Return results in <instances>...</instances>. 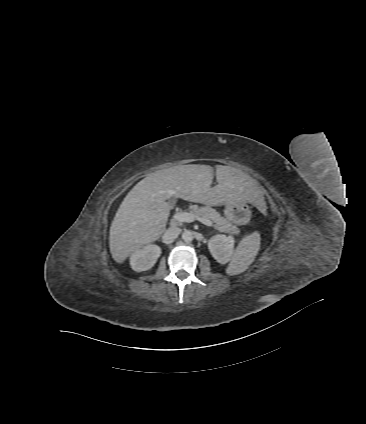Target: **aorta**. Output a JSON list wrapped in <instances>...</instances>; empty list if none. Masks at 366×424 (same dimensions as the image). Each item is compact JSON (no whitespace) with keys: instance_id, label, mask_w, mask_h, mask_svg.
Wrapping results in <instances>:
<instances>
[{"instance_id":"aorta-1","label":"aorta","mask_w":366,"mask_h":424,"mask_svg":"<svg viewBox=\"0 0 366 424\" xmlns=\"http://www.w3.org/2000/svg\"><path fill=\"white\" fill-rule=\"evenodd\" d=\"M194 236H193V232L192 231H184L182 234V239L183 241H185L186 243H189L193 240Z\"/></svg>"}]
</instances>
